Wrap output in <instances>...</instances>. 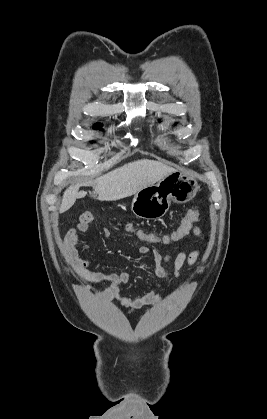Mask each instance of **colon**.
<instances>
[{
    "mask_svg": "<svg viewBox=\"0 0 267 419\" xmlns=\"http://www.w3.org/2000/svg\"><path fill=\"white\" fill-rule=\"evenodd\" d=\"M200 212L198 209L189 210L180 221L179 226L168 234H158L146 229L138 228L132 223H122L120 226L128 233L135 244L145 243L151 246H168L183 240L198 221Z\"/></svg>",
    "mask_w": 267,
    "mask_h": 419,
    "instance_id": "obj_1",
    "label": "colon"
}]
</instances>
